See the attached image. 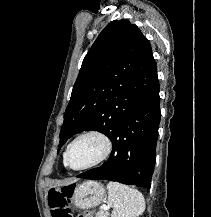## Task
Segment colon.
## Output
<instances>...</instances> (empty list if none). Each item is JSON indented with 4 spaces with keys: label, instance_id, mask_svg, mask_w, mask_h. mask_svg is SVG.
Here are the masks:
<instances>
[{
    "label": "colon",
    "instance_id": "colon-1",
    "mask_svg": "<svg viewBox=\"0 0 211 217\" xmlns=\"http://www.w3.org/2000/svg\"><path fill=\"white\" fill-rule=\"evenodd\" d=\"M73 192L74 186L72 185L49 191L48 205L52 217H72L69 202ZM79 217H93V214L91 212H85Z\"/></svg>",
    "mask_w": 211,
    "mask_h": 217
}]
</instances>
